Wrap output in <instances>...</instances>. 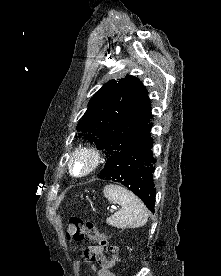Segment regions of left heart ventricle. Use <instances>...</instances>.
Returning <instances> with one entry per match:
<instances>
[{"label":"left heart ventricle","mask_w":221,"mask_h":276,"mask_svg":"<svg viewBox=\"0 0 221 276\" xmlns=\"http://www.w3.org/2000/svg\"><path fill=\"white\" fill-rule=\"evenodd\" d=\"M77 170H81L83 168V162L82 161H78L75 165Z\"/></svg>","instance_id":"1"}]
</instances>
